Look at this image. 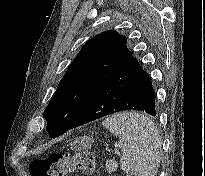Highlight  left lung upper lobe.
<instances>
[{
	"label": "left lung upper lobe",
	"mask_w": 205,
	"mask_h": 176,
	"mask_svg": "<svg viewBox=\"0 0 205 176\" xmlns=\"http://www.w3.org/2000/svg\"><path fill=\"white\" fill-rule=\"evenodd\" d=\"M132 57L126 37L105 31L82 47L44 111L50 138L65 133L95 91Z\"/></svg>",
	"instance_id": "1"
}]
</instances>
